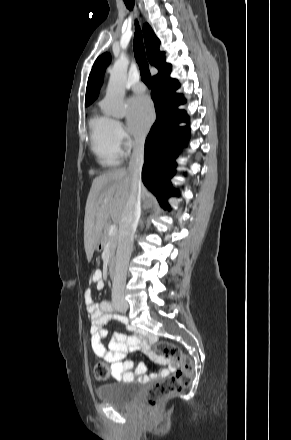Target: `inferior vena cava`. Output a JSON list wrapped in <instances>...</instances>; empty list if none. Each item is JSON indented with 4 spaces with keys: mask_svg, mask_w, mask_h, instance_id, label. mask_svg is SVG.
Here are the masks:
<instances>
[{
    "mask_svg": "<svg viewBox=\"0 0 291 440\" xmlns=\"http://www.w3.org/2000/svg\"><path fill=\"white\" fill-rule=\"evenodd\" d=\"M144 163V139H137L129 162L131 190L119 223V239L116 267L112 286V301L126 305L125 286L127 267L130 260L134 234L140 219L141 171Z\"/></svg>",
    "mask_w": 291,
    "mask_h": 440,
    "instance_id": "obj_1",
    "label": "inferior vena cava"
}]
</instances>
